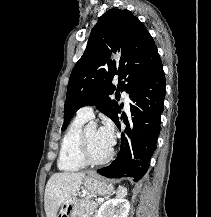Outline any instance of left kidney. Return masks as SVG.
Returning a JSON list of instances; mask_svg holds the SVG:
<instances>
[{
  "instance_id": "5707ae66",
  "label": "left kidney",
  "mask_w": 211,
  "mask_h": 217,
  "mask_svg": "<svg viewBox=\"0 0 211 217\" xmlns=\"http://www.w3.org/2000/svg\"><path fill=\"white\" fill-rule=\"evenodd\" d=\"M130 203L123 198H113L104 202L96 217H128Z\"/></svg>"
}]
</instances>
